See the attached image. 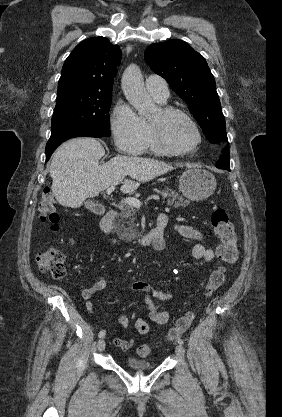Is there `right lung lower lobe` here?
<instances>
[{
  "label": "right lung lower lobe",
  "mask_w": 282,
  "mask_h": 417,
  "mask_svg": "<svg viewBox=\"0 0 282 417\" xmlns=\"http://www.w3.org/2000/svg\"><path fill=\"white\" fill-rule=\"evenodd\" d=\"M79 136H88V137H104L103 134L81 128V127H71L56 133L51 134V137L46 145V161L49 160L50 156L54 150L65 140L79 137ZM106 137V136H105Z\"/></svg>",
  "instance_id": "98d812e1"
}]
</instances>
